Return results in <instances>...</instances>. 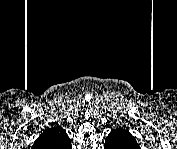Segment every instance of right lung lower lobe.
I'll list each match as a JSON object with an SVG mask.
<instances>
[{
    "label": "right lung lower lobe",
    "mask_w": 177,
    "mask_h": 149,
    "mask_svg": "<svg viewBox=\"0 0 177 149\" xmlns=\"http://www.w3.org/2000/svg\"><path fill=\"white\" fill-rule=\"evenodd\" d=\"M50 139H52V137H40L38 140H40V141H38L39 143H38V146H42V144L43 143H46V142H48V140H50ZM65 148L66 149H69V148H71V144L70 145H65Z\"/></svg>",
    "instance_id": "98d812e1"
}]
</instances>
